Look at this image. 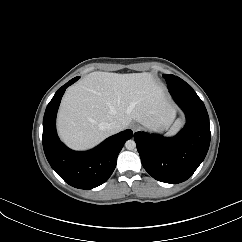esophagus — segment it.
I'll return each instance as SVG.
<instances>
[{
  "instance_id": "esophagus-1",
  "label": "esophagus",
  "mask_w": 242,
  "mask_h": 242,
  "mask_svg": "<svg viewBox=\"0 0 242 242\" xmlns=\"http://www.w3.org/2000/svg\"><path fill=\"white\" fill-rule=\"evenodd\" d=\"M132 130H133V132H136L137 131V127L136 126H133L132 127Z\"/></svg>"
}]
</instances>
